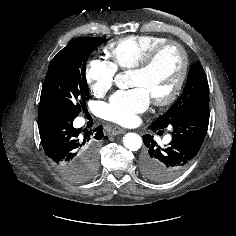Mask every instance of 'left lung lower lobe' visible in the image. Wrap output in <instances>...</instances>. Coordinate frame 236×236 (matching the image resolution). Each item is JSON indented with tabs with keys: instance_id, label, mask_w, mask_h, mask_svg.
<instances>
[{
	"instance_id": "1",
	"label": "left lung lower lobe",
	"mask_w": 236,
	"mask_h": 236,
	"mask_svg": "<svg viewBox=\"0 0 236 236\" xmlns=\"http://www.w3.org/2000/svg\"><path fill=\"white\" fill-rule=\"evenodd\" d=\"M208 124L209 101H203L192 105L170 123L172 141L168 146L161 147L153 140V136L144 135L143 142L147 150L141 157L143 175L156 182H166L177 177L200 150Z\"/></svg>"
}]
</instances>
